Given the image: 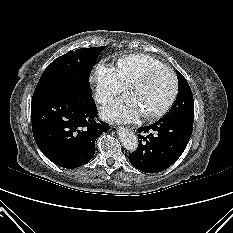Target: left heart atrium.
<instances>
[{
	"label": "left heart atrium",
	"instance_id": "1",
	"mask_svg": "<svg viewBox=\"0 0 233 233\" xmlns=\"http://www.w3.org/2000/svg\"><path fill=\"white\" fill-rule=\"evenodd\" d=\"M141 114L140 107L133 95L127 94L111 102L102 109V115L113 121L129 122Z\"/></svg>",
	"mask_w": 233,
	"mask_h": 233
}]
</instances>
